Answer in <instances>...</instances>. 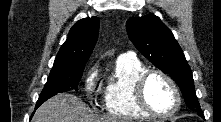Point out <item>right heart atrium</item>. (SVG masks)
<instances>
[{"label":"right heart atrium","instance_id":"1","mask_svg":"<svg viewBox=\"0 0 221 122\" xmlns=\"http://www.w3.org/2000/svg\"><path fill=\"white\" fill-rule=\"evenodd\" d=\"M96 77H97L96 69L90 70L87 77H86V80H85L86 89L88 92H91L93 90V86H94V82L96 80Z\"/></svg>","mask_w":221,"mask_h":122}]
</instances>
